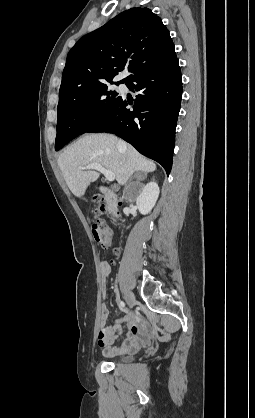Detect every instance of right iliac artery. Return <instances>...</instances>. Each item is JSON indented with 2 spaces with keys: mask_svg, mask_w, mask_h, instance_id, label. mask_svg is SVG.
<instances>
[{
  "mask_svg": "<svg viewBox=\"0 0 255 418\" xmlns=\"http://www.w3.org/2000/svg\"><path fill=\"white\" fill-rule=\"evenodd\" d=\"M119 304H120L121 307H124L125 306V303L123 301H121V300H119Z\"/></svg>",
  "mask_w": 255,
  "mask_h": 418,
  "instance_id": "obj_1",
  "label": "right iliac artery"
}]
</instances>
